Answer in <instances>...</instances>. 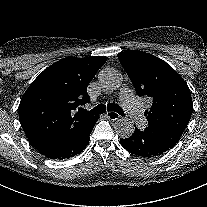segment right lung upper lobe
<instances>
[{
	"label": "right lung upper lobe",
	"instance_id": "obj_1",
	"mask_svg": "<svg viewBox=\"0 0 207 207\" xmlns=\"http://www.w3.org/2000/svg\"><path fill=\"white\" fill-rule=\"evenodd\" d=\"M106 60L103 56L63 58L32 82L20 101L19 119L35 149L46 154L92 117L74 113L90 101L87 86Z\"/></svg>",
	"mask_w": 207,
	"mask_h": 207
}]
</instances>
